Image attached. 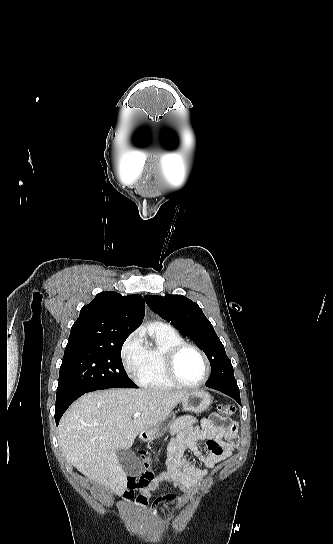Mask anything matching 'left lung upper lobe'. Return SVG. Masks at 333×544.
I'll use <instances>...</instances> for the list:
<instances>
[{"label": "left lung upper lobe", "instance_id": "left-lung-upper-lobe-1", "mask_svg": "<svg viewBox=\"0 0 333 544\" xmlns=\"http://www.w3.org/2000/svg\"><path fill=\"white\" fill-rule=\"evenodd\" d=\"M144 299L153 312L189 336L205 352L211 364L207 387L239 390L225 348L197 303L185 296L170 294L146 295Z\"/></svg>", "mask_w": 333, "mask_h": 544}]
</instances>
